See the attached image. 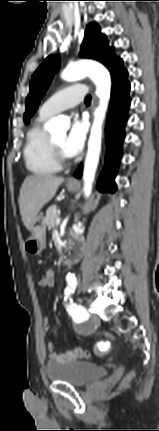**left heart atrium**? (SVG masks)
Segmentation results:
<instances>
[{"mask_svg":"<svg viewBox=\"0 0 159 431\" xmlns=\"http://www.w3.org/2000/svg\"><path fill=\"white\" fill-rule=\"evenodd\" d=\"M86 138V125L80 119H74L65 138L63 148L68 156L78 155L84 146Z\"/></svg>","mask_w":159,"mask_h":431,"instance_id":"1","label":"left heart atrium"}]
</instances>
